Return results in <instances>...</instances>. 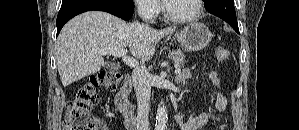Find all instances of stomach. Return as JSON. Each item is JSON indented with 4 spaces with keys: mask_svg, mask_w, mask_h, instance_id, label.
<instances>
[{
    "mask_svg": "<svg viewBox=\"0 0 299 130\" xmlns=\"http://www.w3.org/2000/svg\"><path fill=\"white\" fill-rule=\"evenodd\" d=\"M175 38L185 50L195 52L204 49L210 43L212 34L203 23L194 22L177 32Z\"/></svg>",
    "mask_w": 299,
    "mask_h": 130,
    "instance_id": "0dacf381",
    "label": "stomach"
}]
</instances>
